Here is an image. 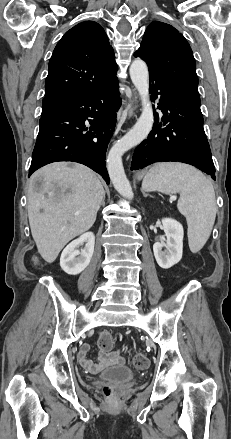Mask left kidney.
<instances>
[{"instance_id":"obj_1","label":"left kidney","mask_w":231,"mask_h":439,"mask_svg":"<svg viewBox=\"0 0 231 439\" xmlns=\"http://www.w3.org/2000/svg\"><path fill=\"white\" fill-rule=\"evenodd\" d=\"M162 225L167 240L165 243L156 242L153 245V252L157 264L163 269H168L182 258L184 230L182 224L172 218L162 219Z\"/></svg>"}]
</instances>
